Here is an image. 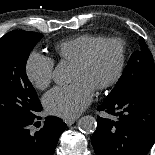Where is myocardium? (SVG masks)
<instances>
[{
    "label": "myocardium",
    "instance_id": "obj_1",
    "mask_svg": "<svg viewBox=\"0 0 155 155\" xmlns=\"http://www.w3.org/2000/svg\"><path fill=\"white\" fill-rule=\"evenodd\" d=\"M106 44H115L118 49H119V61L117 68L112 75L111 78H109L107 81L104 83L98 85L95 90L100 91V90H105L108 89L112 86H114L122 77L124 68H125V63H126V46L125 43L122 39L117 38V37H108V38H103L100 41L96 42L93 44L87 51L86 53L74 63V66L78 67H86L91 60L93 59L94 55L98 51V49Z\"/></svg>",
    "mask_w": 155,
    "mask_h": 155
}]
</instances>
